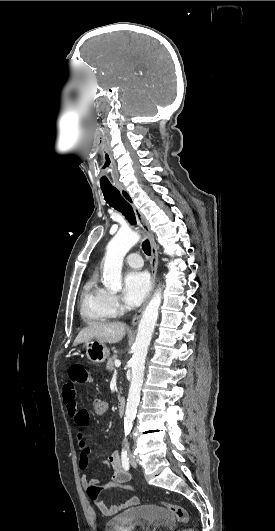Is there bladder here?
<instances>
[{
  "label": "bladder",
  "instance_id": "bladder-1",
  "mask_svg": "<svg viewBox=\"0 0 275 531\" xmlns=\"http://www.w3.org/2000/svg\"><path fill=\"white\" fill-rule=\"evenodd\" d=\"M173 520L163 505H139L106 520L104 531H173Z\"/></svg>",
  "mask_w": 275,
  "mask_h": 531
}]
</instances>
